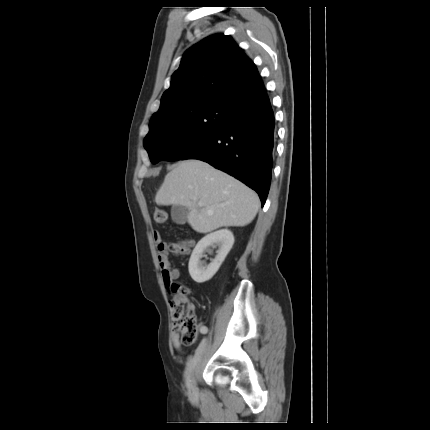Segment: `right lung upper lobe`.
<instances>
[{
    "label": "right lung upper lobe",
    "instance_id": "obj_1",
    "mask_svg": "<svg viewBox=\"0 0 430 430\" xmlns=\"http://www.w3.org/2000/svg\"><path fill=\"white\" fill-rule=\"evenodd\" d=\"M261 82L255 64L230 36H208L184 53L150 125L205 103L234 107L251 99Z\"/></svg>",
    "mask_w": 430,
    "mask_h": 430
}]
</instances>
